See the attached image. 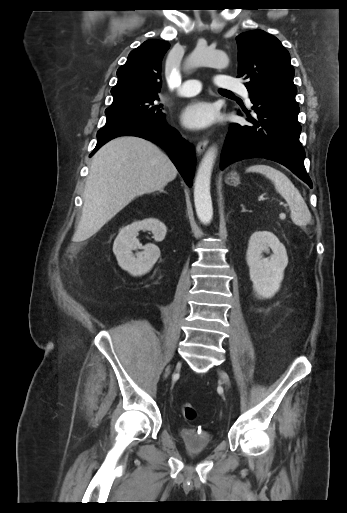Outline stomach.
<instances>
[{"mask_svg": "<svg viewBox=\"0 0 347 513\" xmlns=\"http://www.w3.org/2000/svg\"><path fill=\"white\" fill-rule=\"evenodd\" d=\"M228 182H230L233 185L239 184L240 179L236 172L230 173L229 177L227 178Z\"/></svg>", "mask_w": 347, "mask_h": 513, "instance_id": "obj_1", "label": "stomach"}]
</instances>
